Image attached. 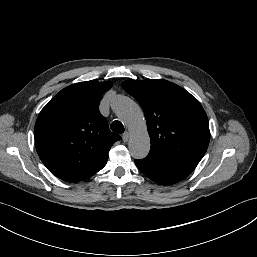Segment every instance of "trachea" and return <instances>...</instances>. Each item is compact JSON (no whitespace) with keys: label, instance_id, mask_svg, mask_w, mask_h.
Segmentation results:
<instances>
[{"label":"trachea","instance_id":"obj_1","mask_svg":"<svg viewBox=\"0 0 257 257\" xmlns=\"http://www.w3.org/2000/svg\"><path fill=\"white\" fill-rule=\"evenodd\" d=\"M111 129L117 134H122L124 132V126L120 121H113L111 124Z\"/></svg>","mask_w":257,"mask_h":257}]
</instances>
